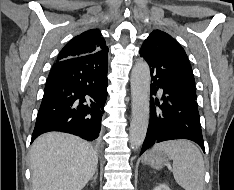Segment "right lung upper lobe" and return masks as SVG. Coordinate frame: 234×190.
<instances>
[{
    "mask_svg": "<svg viewBox=\"0 0 234 190\" xmlns=\"http://www.w3.org/2000/svg\"><path fill=\"white\" fill-rule=\"evenodd\" d=\"M97 52L108 53V47L100 31L91 29L69 41L59 53L57 62Z\"/></svg>",
    "mask_w": 234,
    "mask_h": 190,
    "instance_id": "obj_1",
    "label": "right lung upper lobe"
}]
</instances>
